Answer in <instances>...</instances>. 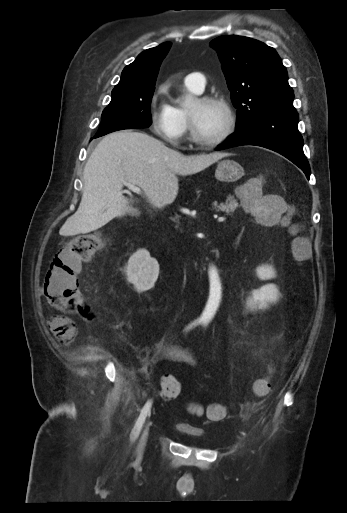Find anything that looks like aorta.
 I'll return each instance as SVG.
<instances>
[{"instance_id": "762f6f07", "label": "aorta", "mask_w": 347, "mask_h": 513, "mask_svg": "<svg viewBox=\"0 0 347 513\" xmlns=\"http://www.w3.org/2000/svg\"><path fill=\"white\" fill-rule=\"evenodd\" d=\"M196 99L193 97H187L185 99L184 105L187 108H191L195 105ZM209 278H210V298L208 301V304L206 306L205 311L202 314V319L207 320L212 317V315L215 312V308L217 307L219 303V299L221 296V283L219 276L216 272V269L214 267L210 268L209 271Z\"/></svg>"}]
</instances>
